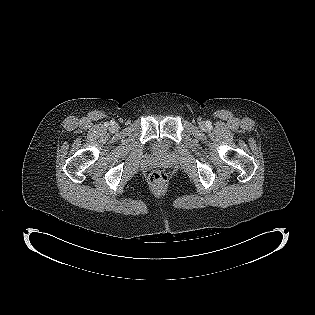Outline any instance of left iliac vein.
<instances>
[{
  "label": "left iliac vein",
  "instance_id": "1",
  "mask_svg": "<svg viewBox=\"0 0 315 315\" xmlns=\"http://www.w3.org/2000/svg\"><path fill=\"white\" fill-rule=\"evenodd\" d=\"M199 125H200L201 128H205V123L204 122H200Z\"/></svg>",
  "mask_w": 315,
  "mask_h": 315
}]
</instances>
